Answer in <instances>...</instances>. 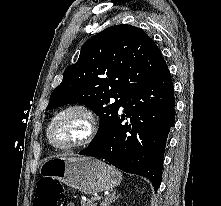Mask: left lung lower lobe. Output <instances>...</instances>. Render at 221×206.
I'll return each instance as SVG.
<instances>
[{
    "instance_id": "1",
    "label": "left lung lower lobe",
    "mask_w": 221,
    "mask_h": 206,
    "mask_svg": "<svg viewBox=\"0 0 221 206\" xmlns=\"http://www.w3.org/2000/svg\"><path fill=\"white\" fill-rule=\"evenodd\" d=\"M173 84L167 69L136 90L122 105L124 114L98 141L79 152L149 179L155 191L162 178L164 150L175 121ZM127 116L130 123L122 125Z\"/></svg>"
}]
</instances>
